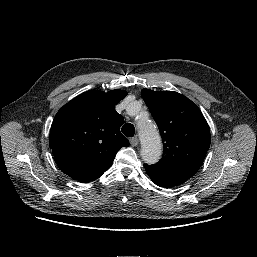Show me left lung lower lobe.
I'll return each mask as SVG.
<instances>
[{"label":"left lung lower lobe","mask_w":257,"mask_h":257,"mask_svg":"<svg viewBox=\"0 0 257 257\" xmlns=\"http://www.w3.org/2000/svg\"><path fill=\"white\" fill-rule=\"evenodd\" d=\"M144 167L151 180L160 187L171 188L180 185L189 179L181 174L159 170L153 165L145 164Z\"/></svg>","instance_id":"obj_1"}]
</instances>
